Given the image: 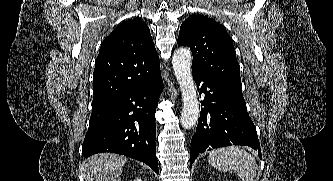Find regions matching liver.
<instances>
[{"instance_id": "1", "label": "liver", "mask_w": 333, "mask_h": 181, "mask_svg": "<svg viewBox=\"0 0 333 181\" xmlns=\"http://www.w3.org/2000/svg\"><path fill=\"white\" fill-rule=\"evenodd\" d=\"M126 160L125 156L118 154L93 155L82 164L83 178L85 181H120Z\"/></svg>"}]
</instances>
